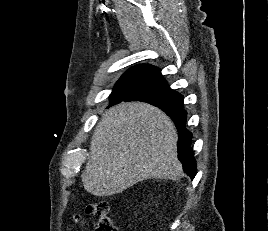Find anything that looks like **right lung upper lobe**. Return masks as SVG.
<instances>
[{"label": "right lung upper lobe", "instance_id": "obj_1", "mask_svg": "<svg viewBox=\"0 0 268 231\" xmlns=\"http://www.w3.org/2000/svg\"><path fill=\"white\" fill-rule=\"evenodd\" d=\"M146 83H157V84L168 85L163 76L161 75L159 68L149 64H144V65H137L129 69L118 80V82L115 85V88L130 89ZM132 100L148 102L152 105L159 107L160 109L167 107H181L164 101L138 98L129 92L118 95L113 99H111L110 105L117 104L121 101H132Z\"/></svg>", "mask_w": 268, "mask_h": 231}]
</instances>
